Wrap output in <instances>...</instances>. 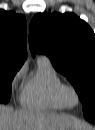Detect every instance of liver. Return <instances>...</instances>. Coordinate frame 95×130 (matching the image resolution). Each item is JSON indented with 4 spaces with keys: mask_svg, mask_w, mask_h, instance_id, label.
<instances>
[{
    "mask_svg": "<svg viewBox=\"0 0 95 130\" xmlns=\"http://www.w3.org/2000/svg\"><path fill=\"white\" fill-rule=\"evenodd\" d=\"M70 127L90 130L76 118L46 110H14L8 106L0 108V130H66Z\"/></svg>",
    "mask_w": 95,
    "mask_h": 130,
    "instance_id": "liver-1",
    "label": "liver"
}]
</instances>
